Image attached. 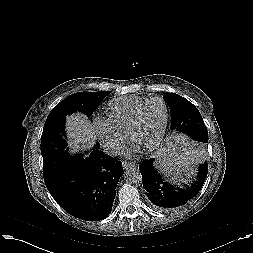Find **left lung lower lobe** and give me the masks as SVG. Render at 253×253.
Wrapping results in <instances>:
<instances>
[{"label": "left lung lower lobe", "instance_id": "0a47b994", "mask_svg": "<svg viewBox=\"0 0 253 253\" xmlns=\"http://www.w3.org/2000/svg\"><path fill=\"white\" fill-rule=\"evenodd\" d=\"M199 150L195 151L204 161L203 152L200 151L199 143H194ZM155 160H145L139 164L142 175L143 187L147 192V197L153 207L159 210H172L188 203L201 190L207 177L208 165L205 161L199 165L195 181L185 188H179L169 183L154 167Z\"/></svg>", "mask_w": 253, "mask_h": 253}]
</instances>
